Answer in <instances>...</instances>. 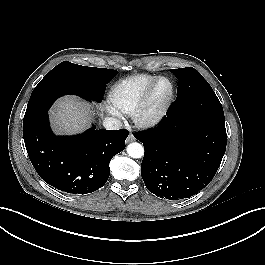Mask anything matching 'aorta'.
I'll return each instance as SVG.
<instances>
[{"label": "aorta", "mask_w": 265, "mask_h": 265, "mask_svg": "<svg viewBox=\"0 0 265 265\" xmlns=\"http://www.w3.org/2000/svg\"><path fill=\"white\" fill-rule=\"evenodd\" d=\"M127 153L132 158L135 159L142 158L144 155V147L137 142L130 143L127 146Z\"/></svg>", "instance_id": "obj_1"}]
</instances>
